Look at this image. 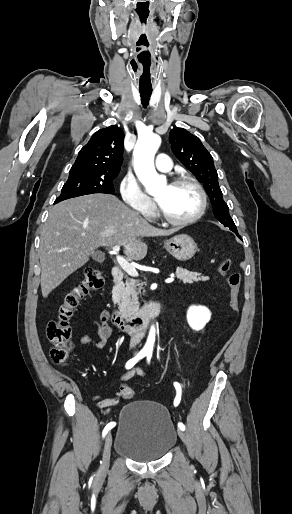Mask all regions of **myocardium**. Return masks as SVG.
I'll list each match as a JSON object with an SVG mask.
<instances>
[{
	"mask_svg": "<svg viewBox=\"0 0 292 514\" xmlns=\"http://www.w3.org/2000/svg\"><path fill=\"white\" fill-rule=\"evenodd\" d=\"M182 185L191 186L192 188L195 189V191L198 194L199 204H198V208L194 212V214H192L190 217L185 218V219H174V218H171L170 216H168L165 213V211L162 209V207L160 205H158V212H159L161 218L165 222H167L171 225H175V226H185V225L195 222L197 219H199L202 216V214L204 213L205 208H206L205 191H204L203 187L195 179H192L189 177H179V178H176L174 181H172L169 186L177 187V186H182Z\"/></svg>",
	"mask_w": 292,
	"mask_h": 514,
	"instance_id": "myocardium-1",
	"label": "myocardium"
}]
</instances>
